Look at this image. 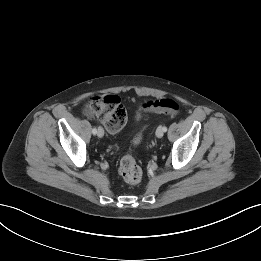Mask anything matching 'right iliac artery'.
I'll return each instance as SVG.
<instances>
[{
    "label": "right iliac artery",
    "instance_id": "1",
    "mask_svg": "<svg viewBox=\"0 0 261 261\" xmlns=\"http://www.w3.org/2000/svg\"><path fill=\"white\" fill-rule=\"evenodd\" d=\"M92 133H93L94 135L97 134V129H96L95 127L92 129Z\"/></svg>",
    "mask_w": 261,
    "mask_h": 261
}]
</instances>
